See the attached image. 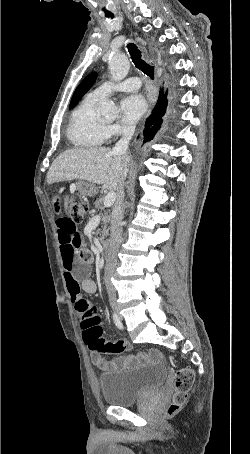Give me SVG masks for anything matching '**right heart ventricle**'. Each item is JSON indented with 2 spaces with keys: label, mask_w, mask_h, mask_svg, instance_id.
Masks as SVG:
<instances>
[{
  "label": "right heart ventricle",
  "mask_w": 250,
  "mask_h": 454,
  "mask_svg": "<svg viewBox=\"0 0 250 454\" xmlns=\"http://www.w3.org/2000/svg\"><path fill=\"white\" fill-rule=\"evenodd\" d=\"M98 101L88 95L71 114L67 137L76 148H95L109 138V128L99 119L96 112Z\"/></svg>",
  "instance_id": "e07e8e85"
}]
</instances>
